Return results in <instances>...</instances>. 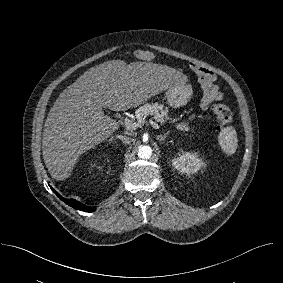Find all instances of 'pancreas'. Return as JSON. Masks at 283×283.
I'll use <instances>...</instances> for the list:
<instances>
[{
	"label": "pancreas",
	"instance_id": "pancreas-1",
	"mask_svg": "<svg viewBox=\"0 0 283 283\" xmlns=\"http://www.w3.org/2000/svg\"><path fill=\"white\" fill-rule=\"evenodd\" d=\"M168 112H169V110L167 108L164 109V106L162 104L146 103L136 110L135 116H136L139 124L145 123V120H146L147 116H149V115H154V119L157 122H160L161 124H163V123H165L166 121L169 120Z\"/></svg>",
	"mask_w": 283,
	"mask_h": 283
}]
</instances>
